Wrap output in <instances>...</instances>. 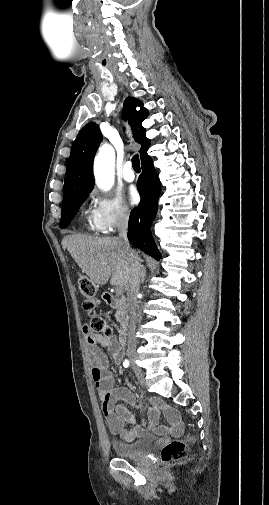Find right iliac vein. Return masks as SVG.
<instances>
[{"instance_id":"63e3f726","label":"right iliac vein","mask_w":269,"mask_h":505,"mask_svg":"<svg viewBox=\"0 0 269 505\" xmlns=\"http://www.w3.org/2000/svg\"><path fill=\"white\" fill-rule=\"evenodd\" d=\"M135 360H136V358H135V357H131V358H130V361H131L132 365H135V366H136V364H135ZM134 371H135V373H136V374H137V376H138V379H139L140 385H141L142 387H145V386L147 385V382H146L145 376L143 375V371H142L139 367H137V366H136V368H135V370H134Z\"/></svg>"}]
</instances>
